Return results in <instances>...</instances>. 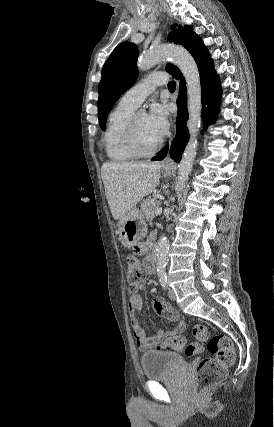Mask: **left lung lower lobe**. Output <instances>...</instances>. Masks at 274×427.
Here are the masks:
<instances>
[{
	"instance_id": "left-lung-lower-lobe-1",
	"label": "left lung lower lobe",
	"mask_w": 274,
	"mask_h": 427,
	"mask_svg": "<svg viewBox=\"0 0 274 427\" xmlns=\"http://www.w3.org/2000/svg\"><path fill=\"white\" fill-rule=\"evenodd\" d=\"M194 57L201 81L202 89V104L208 105L207 108L203 109V118L205 124L212 123L219 110L221 87L219 84L218 76L213 68V61L202 41H200L190 51ZM176 78H181L180 81V94L177 100L178 104V116H177V134L170 148V157L179 162L181 159L182 152L185 148L186 143L189 139L188 129L186 127V121L188 120L187 112V91L185 81L182 78V74L177 72L173 75ZM169 145L167 144L155 157L152 158L154 161L162 160L167 155Z\"/></svg>"
}]
</instances>
